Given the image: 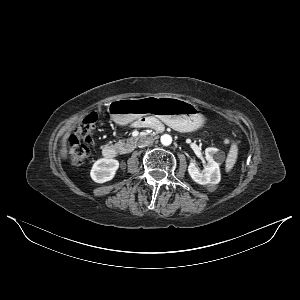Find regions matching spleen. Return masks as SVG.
Returning <instances> with one entry per match:
<instances>
[{
	"label": "spleen",
	"mask_w": 300,
	"mask_h": 300,
	"mask_svg": "<svg viewBox=\"0 0 300 300\" xmlns=\"http://www.w3.org/2000/svg\"><path fill=\"white\" fill-rule=\"evenodd\" d=\"M237 155H238V147L236 143H233L231 145L230 151L227 155V159H226V171L229 172L234 164L236 163L237 160Z\"/></svg>",
	"instance_id": "3e777b00"
}]
</instances>
